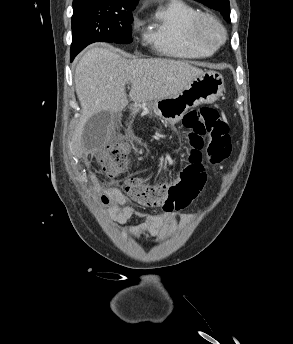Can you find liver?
<instances>
[{"label": "liver", "instance_id": "obj_1", "mask_svg": "<svg viewBox=\"0 0 293 344\" xmlns=\"http://www.w3.org/2000/svg\"><path fill=\"white\" fill-rule=\"evenodd\" d=\"M202 74V69L186 61L128 60L114 49H89L75 70L74 82L82 116L71 141L72 152L82 155V131L92 115L101 111L120 112L128 105L125 92L128 82L132 85L129 97L140 104L177 95Z\"/></svg>", "mask_w": 293, "mask_h": 344}]
</instances>
